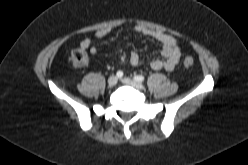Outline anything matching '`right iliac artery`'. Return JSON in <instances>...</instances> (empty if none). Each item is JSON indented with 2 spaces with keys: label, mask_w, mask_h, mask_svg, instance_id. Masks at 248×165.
Segmentation results:
<instances>
[{
  "label": "right iliac artery",
  "mask_w": 248,
  "mask_h": 165,
  "mask_svg": "<svg viewBox=\"0 0 248 165\" xmlns=\"http://www.w3.org/2000/svg\"><path fill=\"white\" fill-rule=\"evenodd\" d=\"M116 76H117L118 78H121V77L123 76V72H122V71H118V72L116 73Z\"/></svg>",
  "instance_id": "1"
}]
</instances>
